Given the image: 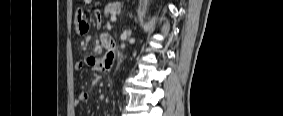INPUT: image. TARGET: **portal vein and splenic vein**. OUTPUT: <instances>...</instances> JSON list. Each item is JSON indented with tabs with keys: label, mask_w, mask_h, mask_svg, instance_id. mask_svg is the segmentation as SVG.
Returning a JSON list of instances; mask_svg holds the SVG:
<instances>
[{
	"label": "portal vein and splenic vein",
	"mask_w": 283,
	"mask_h": 116,
	"mask_svg": "<svg viewBox=\"0 0 283 116\" xmlns=\"http://www.w3.org/2000/svg\"><path fill=\"white\" fill-rule=\"evenodd\" d=\"M111 22H115L117 20L116 15L113 14L110 18Z\"/></svg>",
	"instance_id": "1"
}]
</instances>
